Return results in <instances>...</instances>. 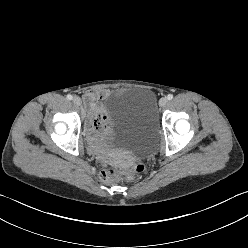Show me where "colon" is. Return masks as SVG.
Segmentation results:
<instances>
[{"mask_svg":"<svg viewBox=\"0 0 248 248\" xmlns=\"http://www.w3.org/2000/svg\"><path fill=\"white\" fill-rule=\"evenodd\" d=\"M144 171V165L140 162H136L128 170H120L117 168H107L100 172V178L104 182L113 181H131L137 176L141 175Z\"/></svg>","mask_w":248,"mask_h":248,"instance_id":"obj_1","label":"colon"}]
</instances>
